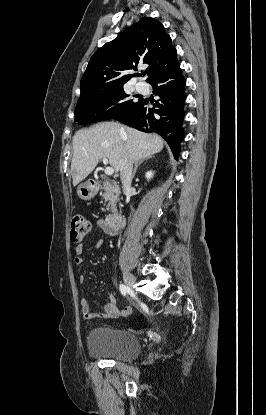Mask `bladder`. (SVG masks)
<instances>
[{"instance_id":"bladder-1","label":"bladder","mask_w":266,"mask_h":415,"mask_svg":"<svg viewBox=\"0 0 266 415\" xmlns=\"http://www.w3.org/2000/svg\"><path fill=\"white\" fill-rule=\"evenodd\" d=\"M87 348L94 357L116 361H131L141 353V344L134 334L104 326L89 332Z\"/></svg>"}]
</instances>
